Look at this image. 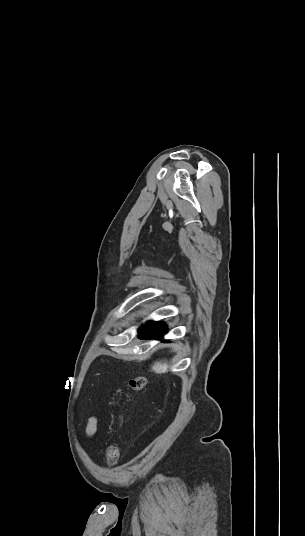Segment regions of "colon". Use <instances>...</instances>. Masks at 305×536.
I'll return each mask as SVG.
<instances>
[{"mask_svg": "<svg viewBox=\"0 0 305 536\" xmlns=\"http://www.w3.org/2000/svg\"><path fill=\"white\" fill-rule=\"evenodd\" d=\"M129 386L131 390H133L134 392H141L146 387V379L143 376L132 377L129 381ZM118 456H119V451H118L117 445L114 443L110 444L108 447V452H107V460H108L109 466L111 467L115 466Z\"/></svg>", "mask_w": 305, "mask_h": 536, "instance_id": "1", "label": "colon"}]
</instances>
